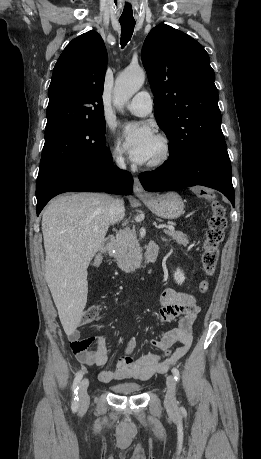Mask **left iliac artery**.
<instances>
[{
	"mask_svg": "<svg viewBox=\"0 0 261 459\" xmlns=\"http://www.w3.org/2000/svg\"><path fill=\"white\" fill-rule=\"evenodd\" d=\"M172 373L174 375V378L176 381H179L180 380V373H179V370L177 368H173L172 369Z\"/></svg>",
	"mask_w": 261,
	"mask_h": 459,
	"instance_id": "1",
	"label": "left iliac artery"
}]
</instances>
